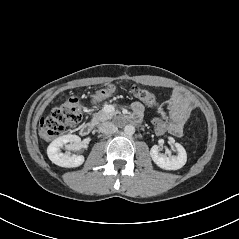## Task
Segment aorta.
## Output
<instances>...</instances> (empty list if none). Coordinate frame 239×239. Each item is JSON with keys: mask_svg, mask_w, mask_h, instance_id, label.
<instances>
[{"mask_svg": "<svg viewBox=\"0 0 239 239\" xmlns=\"http://www.w3.org/2000/svg\"><path fill=\"white\" fill-rule=\"evenodd\" d=\"M124 133L128 136H132L135 133V127L133 125H126L124 127Z\"/></svg>", "mask_w": 239, "mask_h": 239, "instance_id": "762f6f07", "label": "aorta"}]
</instances>
